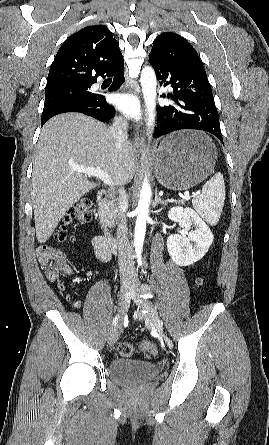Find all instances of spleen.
I'll list each match as a JSON object with an SVG mask.
<instances>
[{"label":"spleen","instance_id":"obj_1","mask_svg":"<svg viewBox=\"0 0 269 445\" xmlns=\"http://www.w3.org/2000/svg\"><path fill=\"white\" fill-rule=\"evenodd\" d=\"M225 201V183L220 172L202 187V193L192 200L197 213L211 226L219 221Z\"/></svg>","mask_w":269,"mask_h":445}]
</instances>
